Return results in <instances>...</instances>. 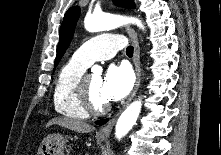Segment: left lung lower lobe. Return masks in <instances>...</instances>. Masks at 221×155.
I'll use <instances>...</instances> for the list:
<instances>
[{"mask_svg":"<svg viewBox=\"0 0 221 155\" xmlns=\"http://www.w3.org/2000/svg\"><path fill=\"white\" fill-rule=\"evenodd\" d=\"M107 121H108L107 119L99 120V121H96V124H98V125H103V124H105Z\"/></svg>","mask_w":221,"mask_h":155,"instance_id":"0a47b994","label":"left lung lower lobe"}]
</instances>
